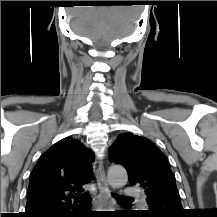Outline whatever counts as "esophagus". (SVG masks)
Segmentation results:
<instances>
[{
	"label": "esophagus",
	"instance_id": "1",
	"mask_svg": "<svg viewBox=\"0 0 217 217\" xmlns=\"http://www.w3.org/2000/svg\"><path fill=\"white\" fill-rule=\"evenodd\" d=\"M93 171L99 190L98 201L104 209H112L114 202L111 199V192L106 179L102 159L95 160V162L93 163Z\"/></svg>",
	"mask_w": 217,
	"mask_h": 217
}]
</instances>
